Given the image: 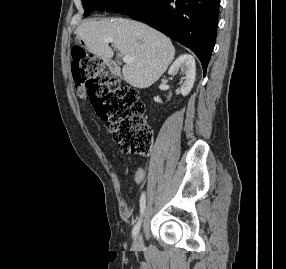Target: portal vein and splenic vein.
<instances>
[{
    "instance_id": "18ae733b",
    "label": "portal vein and splenic vein",
    "mask_w": 286,
    "mask_h": 269,
    "mask_svg": "<svg viewBox=\"0 0 286 269\" xmlns=\"http://www.w3.org/2000/svg\"><path fill=\"white\" fill-rule=\"evenodd\" d=\"M106 43H112L113 42V39L112 38H108L105 40ZM134 61V58L130 55H125L123 57V62L128 64V63H132Z\"/></svg>"
}]
</instances>
